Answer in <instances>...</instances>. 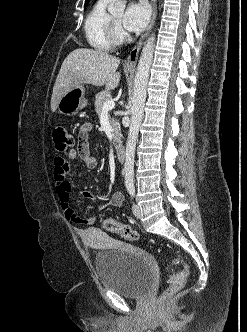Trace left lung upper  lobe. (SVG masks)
Masks as SVG:
<instances>
[{"mask_svg":"<svg viewBox=\"0 0 247 332\" xmlns=\"http://www.w3.org/2000/svg\"><path fill=\"white\" fill-rule=\"evenodd\" d=\"M89 1H90V0H86V1H85V7L88 5Z\"/></svg>","mask_w":247,"mask_h":332,"instance_id":"obj_1","label":"left lung upper lobe"}]
</instances>
